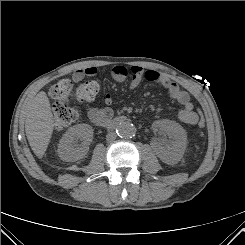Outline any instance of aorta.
<instances>
[{
    "label": "aorta",
    "mask_w": 245,
    "mask_h": 245,
    "mask_svg": "<svg viewBox=\"0 0 245 245\" xmlns=\"http://www.w3.org/2000/svg\"><path fill=\"white\" fill-rule=\"evenodd\" d=\"M116 132L122 138H130L135 135L136 128L131 123L123 122L118 125Z\"/></svg>",
    "instance_id": "obj_1"
}]
</instances>
